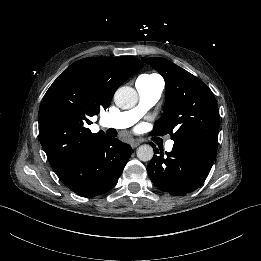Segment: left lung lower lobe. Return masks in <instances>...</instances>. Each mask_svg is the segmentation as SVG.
<instances>
[{
	"label": "left lung lower lobe",
	"instance_id": "obj_1",
	"mask_svg": "<svg viewBox=\"0 0 261 261\" xmlns=\"http://www.w3.org/2000/svg\"><path fill=\"white\" fill-rule=\"evenodd\" d=\"M217 145L200 137L174 141L172 151L166 152V156L163 153L154 155L147 167L148 175L161 191L174 196L186 195L199 188L207 178L216 157Z\"/></svg>",
	"mask_w": 261,
	"mask_h": 261
}]
</instances>
